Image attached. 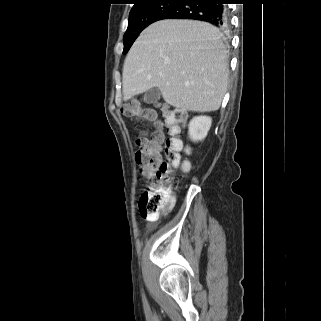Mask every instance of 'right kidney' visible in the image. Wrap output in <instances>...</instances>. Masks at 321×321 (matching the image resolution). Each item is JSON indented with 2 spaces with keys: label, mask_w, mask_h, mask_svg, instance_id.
I'll return each instance as SVG.
<instances>
[{
  "label": "right kidney",
  "mask_w": 321,
  "mask_h": 321,
  "mask_svg": "<svg viewBox=\"0 0 321 321\" xmlns=\"http://www.w3.org/2000/svg\"><path fill=\"white\" fill-rule=\"evenodd\" d=\"M212 119L208 116L194 117L189 123V136L193 141H201L211 127Z\"/></svg>",
  "instance_id": "1"
}]
</instances>
